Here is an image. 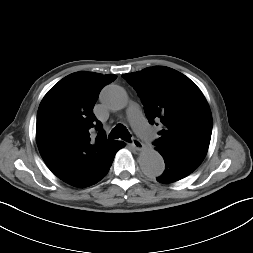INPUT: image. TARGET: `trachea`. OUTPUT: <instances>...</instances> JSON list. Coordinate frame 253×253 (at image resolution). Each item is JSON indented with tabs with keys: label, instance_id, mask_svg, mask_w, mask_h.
Instances as JSON below:
<instances>
[{
	"label": "trachea",
	"instance_id": "trachea-1",
	"mask_svg": "<svg viewBox=\"0 0 253 253\" xmlns=\"http://www.w3.org/2000/svg\"><path fill=\"white\" fill-rule=\"evenodd\" d=\"M121 138L124 141L130 142L131 135L126 129L125 126L118 124L115 126L109 134V139H118Z\"/></svg>",
	"mask_w": 253,
	"mask_h": 253
}]
</instances>
